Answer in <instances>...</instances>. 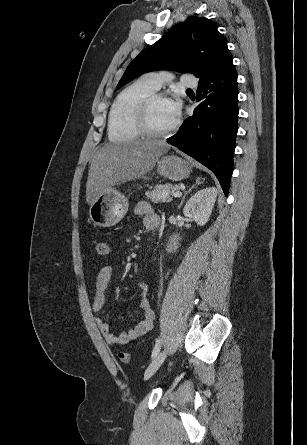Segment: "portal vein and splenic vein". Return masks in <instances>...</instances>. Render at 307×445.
I'll return each instance as SVG.
<instances>
[{
    "instance_id": "18ae733b",
    "label": "portal vein and splenic vein",
    "mask_w": 307,
    "mask_h": 445,
    "mask_svg": "<svg viewBox=\"0 0 307 445\" xmlns=\"http://www.w3.org/2000/svg\"><path fill=\"white\" fill-rule=\"evenodd\" d=\"M182 192H180V190H178V192H173V196H181Z\"/></svg>"
}]
</instances>
